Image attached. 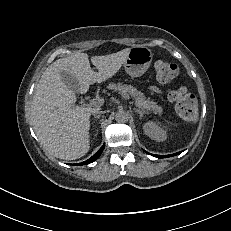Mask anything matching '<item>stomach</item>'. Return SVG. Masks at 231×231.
Returning <instances> with one entry per match:
<instances>
[{
    "label": "stomach",
    "instance_id": "1",
    "mask_svg": "<svg viewBox=\"0 0 231 231\" xmlns=\"http://www.w3.org/2000/svg\"><path fill=\"white\" fill-rule=\"evenodd\" d=\"M152 58L153 53L148 47L134 46L124 63L125 71L131 77H140L149 69Z\"/></svg>",
    "mask_w": 231,
    "mask_h": 231
}]
</instances>
